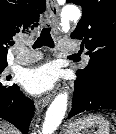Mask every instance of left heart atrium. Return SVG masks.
<instances>
[{
    "label": "left heart atrium",
    "mask_w": 116,
    "mask_h": 134,
    "mask_svg": "<svg viewBox=\"0 0 116 134\" xmlns=\"http://www.w3.org/2000/svg\"><path fill=\"white\" fill-rule=\"evenodd\" d=\"M58 80L57 69L50 64L30 69L23 76V86L31 94L40 95L51 91Z\"/></svg>",
    "instance_id": "obj_1"
}]
</instances>
